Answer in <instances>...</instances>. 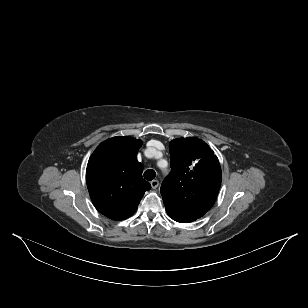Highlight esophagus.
Masks as SVG:
<instances>
[{
    "label": "esophagus",
    "instance_id": "esophagus-1",
    "mask_svg": "<svg viewBox=\"0 0 308 308\" xmlns=\"http://www.w3.org/2000/svg\"><path fill=\"white\" fill-rule=\"evenodd\" d=\"M150 184H151V187H152L153 189H156V188L158 187V185H159V181H158V180H152V181L150 182Z\"/></svg>",
    "mask_w": 308,
    "mask_h": 308
}]
</instances>
